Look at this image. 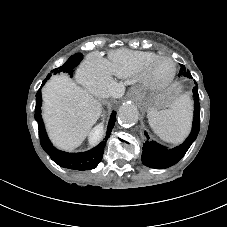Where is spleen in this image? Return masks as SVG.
Masks as SVG:
<instances>
[{
  "label": "spleen",
  "instance_id": "1",
  "mask_svg": "<svg viewBox=\"0 0 227 227\" xmlns=\"http://www.w3.org/2000/svg\"><path fill=\"white\" fill-rule=\"evenodd\" d=\"M148 121L160 139L168 143L179 144L190 130V106L184 97L178 98L169 109L151 108L148 111Z\"/></svg>",
  "mask_w": 227,
  "mask_h": 227
}]
</instances>
